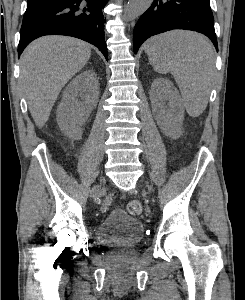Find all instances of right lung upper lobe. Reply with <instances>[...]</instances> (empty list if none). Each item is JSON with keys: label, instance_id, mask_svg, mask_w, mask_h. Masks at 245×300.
Masks as SVG:
<instances>
[{"label": "right lung upper lobe", "instance_id": "obj_1", "mask_svg": "<svg viewBox=\"0 0 245 300\" xmlns=\"http://www.w3.org/2000/svg\"><path fill=\"white\" fill-rule=\"evenodd\" d=\"M27 1H31V2H39V1H43V0H27Z\"/></svg>", "mask_w": 245, "mask_h": 300}]
</instances>
